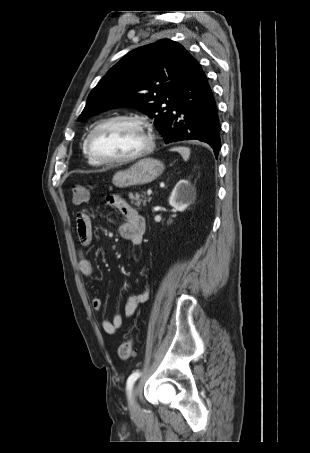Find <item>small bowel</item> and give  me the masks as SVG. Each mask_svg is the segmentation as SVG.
I'll return each mask as SVG.
<instances>
[{"instance_id":"obj_1","label":"small bowel","mask_w":310,"mask_h":453,"mask_svg":"<svg viewBox=\"0 0 310 453\" xmlns=\"http://www.w3.org/2000/svg\"><path fill=\"white\" fill-rule=\"evenodd\" d=\"M109 204L118 209L124 221L119 227V233L122 238L129 241L133 246L138 247L142 243L145 232V219L138 213L136 209L130 206L124 199L118 196H112L108 199ZM76 232L82 247L79 260V269L81 273L88 278L94 276V267L91 261L85 256L86 249L90 247L93 240L91 218L87 210H81L76 215ZM149 290L144 288L141 292L131 294L125 303L124 315L117 313L112 320H105L102 327L107 334H114L123 326L124 319L131 317L137 310L139 304L148 300ZM94 310L102 309V301L99 297L92 299Z\"/></svg>"}]
</instances>
